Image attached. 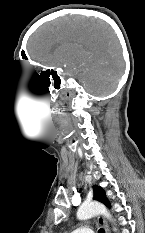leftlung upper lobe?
<instances>
[{
    "label": "left lung upper lobe",
    "instance_id": "5c2ea615",
    "mask_svg": "<svg viewBox=\"0 0 145 233\" xmlns=\"http://www.w3.org/2000/svg\"><path fill=\"white\" fill-rule=\"evenodd\" d=\"M94 199L104 203L107 207H110V202L106 198V194L101 187L94 186Z\"/></svg>",
    "mask_w": 145,
    "mask_h": 233
}]
</instances>
